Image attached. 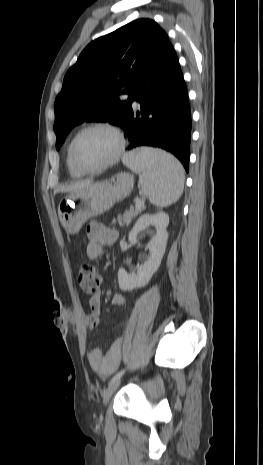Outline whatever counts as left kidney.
I'll return each mask as SVG.
<instances>
[{"label":"left kidney","mask_w":263,"mask_h":465,"mask_svg":"<svg viewBox=\"0 0 263 465\" xmlns=\"http://www.w3.org/2000/svg\"><path fill=\"white\" fill-rule=\"evenodd\" d=\"M168 224L169 217L164 212L144 214L137 220L129 233L128 238L131 243H136L139 233L149 226L155 227L156 233L147 244L150 255L143 264L137 265L136 269L130 274L123 268L118 270V283L121 290L132 291L134 288L145 286L158 270L167 244L168 234L166 228Z\"/></svg>","instance_id":"1"}]
</instances>
